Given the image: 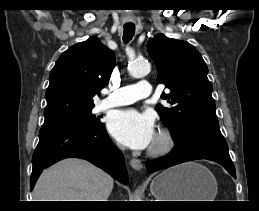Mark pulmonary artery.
Here are the masks:
<instances>
[{
    "mask_svg": "<svg viewBox=\"0 0 259 211\" xmlns=\"http://www.w3.org/2000/svg\"><path fill=\"white\" fill-rule=\"evenodd\" d=\"M151 95V87L147 81H140L133 85L121 87L109 96L103 99L99 106V110H106L113 107L129 105L141 99L148 98Z\"/></svg>",
    "mask_w": 259,
    "mask_h": 211,
    "instance_id": "obj_1",
    "label": "pulmonary artery"
}]
</instances>
